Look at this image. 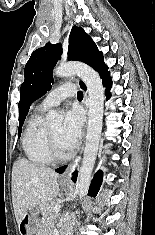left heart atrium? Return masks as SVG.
Segmentation results:
<instances>
[{"label":"left heart atrium","mask_w":155,"mask_h":235,"mask_svg":"<svg viewBox=\"0 0 155 235\" xmlns=\"http://www.w3.org/2000/svg\"><path fill=\"white\" fill-rule=\"evenodd\" d=\"M83 117L80 111L73 109L66 112L59 138L66 150L73 149L82 133Z\"/></svg>","instance_id":"1"}]
</instances>
